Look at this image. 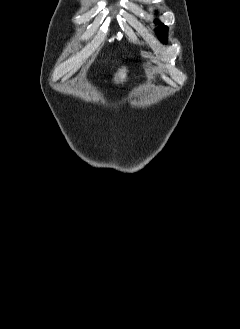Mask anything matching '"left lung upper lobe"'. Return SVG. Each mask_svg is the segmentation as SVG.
<instances>
[{
    "label": "left lung upper lobe",
    "mask_w": 240,
    "mask_h": 329,
    "mask_svg": "<svg viewBox=\"0 0 240 329\" xmlns=\"http://www.w3.org/2000/svg\"><path fill=\"white\" fill-rule=\"evenodd\" d=\"M155 23H160V21L156 20ZM156 33L158 38L163 42H167L168 28L164 24H160L158 28H156Z\"/></svg>",
    "instance_id": "5c2ea615"
}]
</instances>
